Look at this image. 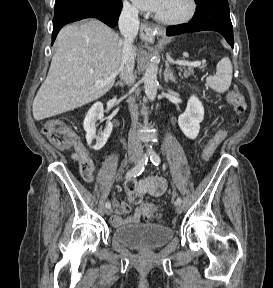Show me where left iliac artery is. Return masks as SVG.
Segmentation results:
<instances>
[{"instance_id":"44dca946","label":"left iliac artery","mask_w":273,"mask_h":288,"mask_svg":"<svg viewBox=\"0 0 273 288\" xmlns=\"http://www.w3.org/2000/svg\"><path fill=\"white\" fill-rule=\"evenodd\" d=\"M150 160L155 166H158L160 164V162H161V159H160L159 155L157 153H155V152H153L150 155ZM176 203L177 204H181L182 203V199L180 197H178L177 200H176Z\"/></svg>"}]
</instances>
